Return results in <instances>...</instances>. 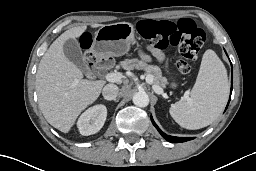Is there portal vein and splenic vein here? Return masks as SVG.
Listing matches in <instances>:
<instances>
[{
	"label": "portal vein and splenic vein",
	"instance_id": "18ae733b",
	"mask_svg": "<svg viewBox=\"0 0 256 171\" xmlns=\"http://www.w3.org/2000/svg\"><path fill=\"white\" fill-rule=\"evenodd\" d=\"M122 78V74L119 73V72H116V73H107L105 75V79L108 81V82H118L120 81V79ZM146 81L148 83H153V77L151 75H148L146 77ZM153 90L158 93V94H162L163 93V90L161 87H159L158 85H155L153 84ZM184 98H188V95H184Z\"/></svg>",
	"mask_w": 256,
	"mask_h": 171
}]
</instances>
